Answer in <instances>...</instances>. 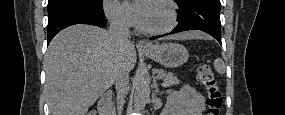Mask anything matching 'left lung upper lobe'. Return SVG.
<instances>
[{"instance_id": "5c2ea615", "label": "left lung upper lobe", "mask_w": 285, "mask_h": 115, "mask_svg": "<svg viewBox=\"0 0 285 115\" xmlns=\"http://www.w3.org/2000/svg\"><path fill=\"white\" fill-rule=\"evenodd\" d=\"M187 0H175V2L178 4V6L184 2H186Z\"/></svg>"}]
</instances>
